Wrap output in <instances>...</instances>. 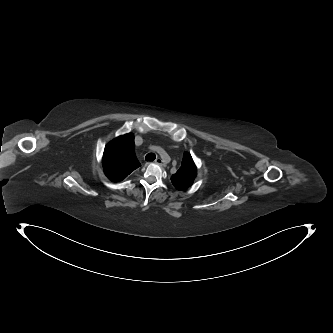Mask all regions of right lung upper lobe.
I'll list each match as a JSON object with an SVG mask.
<instances>
[{
    "label": "right lung upper lobe",
    "instance_id": "obj_1",
    "mask_svg": "<svg viewBox=\"0 0 333 333\" xmlns=\"http://www.w3.org/2000/svg\"><path fill=\"white\" fill-rule=\"evenodd\" d=\"M104 173L112 182L122 181L140 167L135 156L134 135L128 133L110 141L103 153Z\"/></svg>",
    "mask_w": 333,
    "mask_h": 333
}]
</instances>
